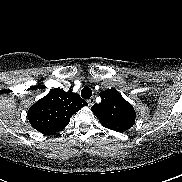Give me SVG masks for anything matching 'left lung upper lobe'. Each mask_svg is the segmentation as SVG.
Masks as SVG:
<instances>
[{
  "instance_id": "5c2ea615",
  "label": "left lung upper lobe",
  "mask_w": 182,
  "mask_h": 182,
  "mask_svg": "<svg viewBox=\"0 0 182 182\" xmlns=\"http://www.w3.org/2000/svg\"><path fill=\"white\" fill-rule=\"evenodd\" d=\"M99 95L101 103L94 104L91 110L104 127L124 132L134 125L136 118L134 108L115 88L102 91Z\"/></svg>"
}]
</instances>
